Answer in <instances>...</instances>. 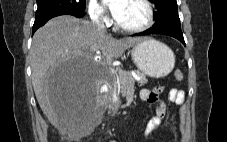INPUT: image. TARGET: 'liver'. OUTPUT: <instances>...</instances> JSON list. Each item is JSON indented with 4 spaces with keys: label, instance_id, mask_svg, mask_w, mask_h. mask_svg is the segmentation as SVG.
<instances>
[{
    "label": "liver",
    "instance_id": "6515ba94",
    "mask_svg": "<svg viewBox=\"0 0 227 142\" xmlns=\"http://www.w3.org/2000/svg\"><path fill=\"white\" fill-rule=\"evenodd\" d=\"M145 38H113L93 23L73 16H58L39 28L30 49L32 84L36 99L50 123L64 133L74 135L84 112V102L91 104L105 81L100 70L103 62L95 60L102 51L117 59L126 49ZM60 61H91L86 88H53L50 73ZM85 100V101H84Z\"/></svg>",
    "mask_w": 227,
    "mask_h": 142
}]
</instances>
